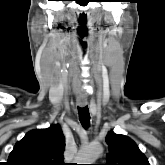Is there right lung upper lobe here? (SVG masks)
Here are the masks:
<instances>
[{
	"instance_id": "right-lung-upper-lobe-1",
	"label": "right lung upper lobe",
	"mask_w": 165,
	"mask_h": 165,
	"mask_svg": "<svg viewBox=\"0 0 165 165\" xmlns=\"http://www.w3.org/2000/svg\"><path fill=\"white\" fill-rule=\"evenodd\" d=\"M65 137L59 124L29 131L16 143L8 165H65Z\"/></svg>"
}]
</instances>
